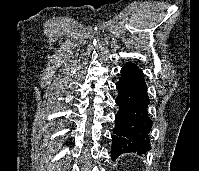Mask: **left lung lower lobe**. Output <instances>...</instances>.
Masks as SVG:
<instances>
[{
  "mask_svg": "<svg viewBox=\"0 0 199 171\" xmlns=\"http://www.w3.org/2000/svg\"><path fill=\"white\" fill-rule=\"evenodd\" d=\"M119 111L115 116L111 157L115 160L125 152L144 153L151 149L149 133L152 121L147 108L150 103L142 70L127 62L116 84Z\"/></svg>",
  "mask_w": 199,
  "mask_h": 171,
  "instance_id": "1",
  "label": "left lung lower lobe"
}]
</instances>
